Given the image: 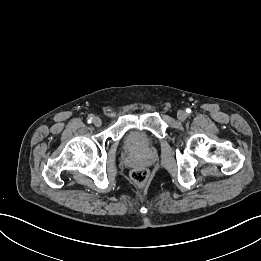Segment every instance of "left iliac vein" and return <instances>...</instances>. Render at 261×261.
I'll use <instances>...</instances> for the list:
<instances>
[{
    "instance_id": "obj_1",
    "label": "left iliac vein",
    "mask_w": 261,
    "mask_h": 261,
    "mask_svg": "<svg viewBox=\"0 0 261 261\" xmlns=\"http://www.w3.org/2000/svg\"><path fill=\"white\" fill-rule=\"evenodd\" d=\"M177 118L180 121H184L187 118V113L185 111H183V110H179L178 113H177Z\"/></svg>"
}]
</instances>
